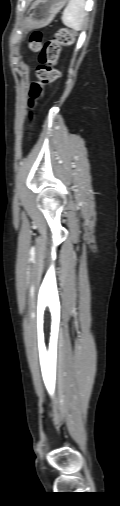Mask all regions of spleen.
<instances>
[{
  "mask_svg": "<svg viewBox=\"0 0 120 506\" xmlns=\"http://www.w3.org/2000/svg\"><path fill=\"white\" fill-rule=\"evenodd\" d=\"M84 7L85 0H69L62 15L63 24L76 31L81 30L85 17Z\"/></svg>",
  "mask_w": 120,
  "mask_h": 506,
  "instance_id": "1",
  "label": "spleen"
}]
</instances>
